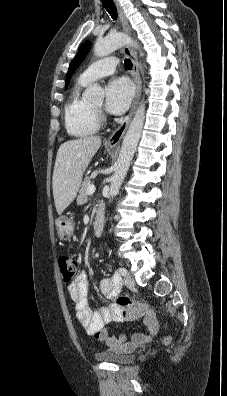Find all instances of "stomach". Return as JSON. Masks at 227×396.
<instances>
[{
    "label": "stomach",
    "instance_id": "1",
    "mask_svg": "<svg viewBox=\"0 0 227 396\" xmlns=\"http://www.w3.org/2000/svg\"><path fill=\"white\" fill-rule=\"evenodd\" d=\"M57 233L61 240H69L73 234L74 222L72 218L61 215L55 221Z\"/></svg>",
    "mask_w": 227,
    "mask_h": 396
}]
</instances>
